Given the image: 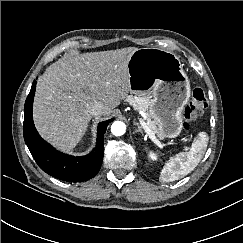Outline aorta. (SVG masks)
<instances>
[{
	"label": "aorta",
	"mask_w": 243,
	"mask_h": 243,
	"mask_svg": "<svg viewBox=\"0 0 243 243\" xmlns=\"http://www.w3.org/2000/svg\"><path fill=\"white\" fill-rule=\"evenodd\" d=\"M126 131V125L122 121H115L111 126V132L115 136H122Z\"/></svg>",
	"instance_id": "aorta-1"
}]
</instances>
